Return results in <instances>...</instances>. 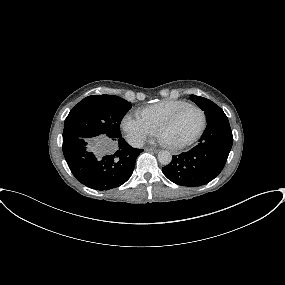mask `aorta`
Instances as JSON below:
<instances>
[{
	"label": "aorta",
	"instance_id": "762f6f07",
	"mask_svg": "<svg viewBox=\"0 0 285 285\" xmlns=\"http://www.w3.org/2000/svg\"><path fill=\"white\" fill-rule=\"evenodd\" d=\"M158 161L162 165H168L172 161V155L169 151L162 150L158 153Z\"/></svg>",
	"mask_w": 285,
	"mask_h": 285
}]
</instances>
